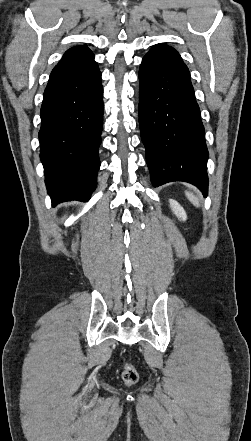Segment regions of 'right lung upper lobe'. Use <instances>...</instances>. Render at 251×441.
Masks as SVG:
<instances>
[{"instance_id":"right-lung-upper-lobe-1","label":"right lung upper lobe","mask_w":251,"mask_h":441,"mask_svg":"<svg viewBox=\"0 0 251 441\" xmlns=\"http://www.w3.org/2000/svg\"><path fill=\"white\" fill-rule=\"evenodd\" d=\"M94 55L86 46H76L66 51L52 72H75L96 66Z\"/></svg>"}]
</instances>
